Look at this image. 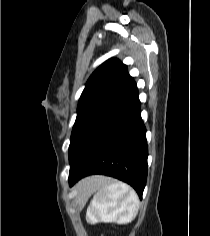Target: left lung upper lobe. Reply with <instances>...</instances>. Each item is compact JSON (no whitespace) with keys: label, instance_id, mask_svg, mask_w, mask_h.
Listing matches in <instances>:
<instances>
[{"label":"left lung upper lobe","instance_id":"5c2ea615","mask_svg":"<svg viewBox=\"0 0 210 236\" xmlns=\"http://www.w3.org/2000/svg\"><path fill=\"white\" fill-rule=\"evenodd\" d=\"M133 83L127 66L115 58L107 60L93 72L78 102L69 149L81 131Z\"/></svg>","mask_w":210,"mask_h":236}]
</instances>
